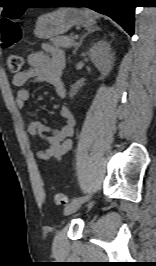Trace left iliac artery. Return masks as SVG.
<instances>
[{
  "instance_id": "44dca946",
  "label": "left iliac artery",
  "mask_w": 156,
  "mask_h": 266,
  "mask_svg": "<svg viewBox=\"0 0 156 266\" xmlns=\"http://www.w3.org/2000/svg\"><path fill=\"white\" fill-rule=\"evenodd\" d=\"M89 197L94 198L95 194H89V196H79V198H73L71 201H76L77 203H84Z\"/></svg>"
}]
</instances>
